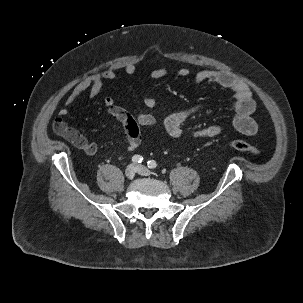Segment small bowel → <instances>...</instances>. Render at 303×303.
I'll list each match as a JSON object with an SVG mask.
<instances>
[{"label": "small bowel", "mask_w": 303, "mask_h": 303, "mask_svg": "<svg viewBox=\"0 0 303 303\" xmlns=\"http://www.w3.org/2000/svg\"><path fill=\"white\" fill-rule=\"evenodd\" d=\"M123 70L128 75H133L136 72V67L133 63H128L123 67ZM167 74L168 71L166 68H156L150 72V77L153 79H160L165 77ZM189 75L190 70L188 68H181L176 72V76L180 78H185ZM115 77V70L107 69L83 78L75 86L67 99L66 106L60 109L58 116L54 121L53 127L55 132L87 155H95L98 152V145L95 142L90 141L76 128L68 126L64 118L69 113V107L80 95L89 91V96L91 98L98 96L105 81L113 80ZM194 81L196 83L217 85L232 92V108L235 113L233 119L234 128L239 133L247 136H252L257 133L258 126L252 118V114L255 111V102L252 98V93L249 87L244 82L239 81L230 73L216 70L199 71L194 76ZM143 102L148 109H151L156 105L155 98L150 95H146ZM104 105L107 115L116 119L123 126L124 133L128 141V151H134L138 148L142 140V129L144 127L156 124L157 120L154 114L143 111L138 115L133 116L124 108L116 105L111 96H106L104 98ZM199 110H201L200 107H193L169 114L164 120V126L167 133L171 137L178 138L188 132L189 135L195 139L212 138L220 135L223 132V128L219 125H211L193 129L191 131H187L185 129L184 125L187 119L196 114Z\"/></svg>", "instance_id": "1"}]
</instances>
